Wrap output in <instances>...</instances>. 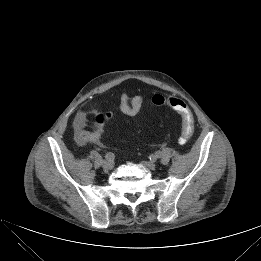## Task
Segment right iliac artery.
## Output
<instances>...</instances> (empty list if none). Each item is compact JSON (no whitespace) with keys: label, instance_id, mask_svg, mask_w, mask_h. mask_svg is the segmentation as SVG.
Wrapping results in <instances>:
<instances>
[{"label":"right iliac artery","instance_id":"right-iliac-artery-1","mask_svg":"<svg viewBox=\"0 0 261 261\" xmlns=\"http://www.w3.org/2000/svg\"><path fill=\"white\" fill-rule=\"evenodd\" d=\"M105 159H106L108 162L113 163L114 160H115V155H114L113 153H111V152H107V153L105 154Z\"/></svg>","mask_w":261,"mask_h":261}]
</instances>
